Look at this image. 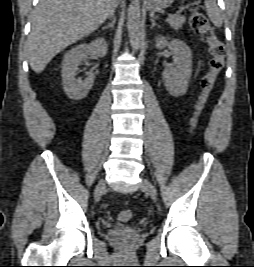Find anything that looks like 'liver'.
<instances>
[{"mask_svg":"<svg viewBox=\"0 0 254 267\" xmlns=\"http://www.w3.org/2000/svg\"><path fill=\"white\" fill-rule=\"evenodd\" d=\"M115 1L39 0L31 15L27 41L31 69L41 73L59 52L95 31L109 16Z\"/></svg>","mask_w":254,"mask_h":267,"instance_id":"liver-1","label":"liver"}]
</instances>
